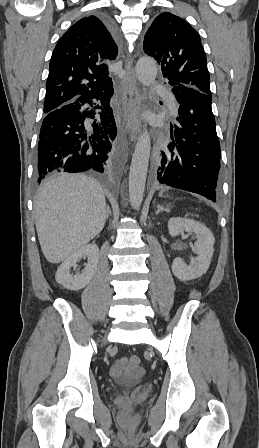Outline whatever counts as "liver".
<instances>
[{
  "mask_svg": "<svg viewBox=\"0 0 259 448\" xmlns=\"http://www.w3.org/2000/svg\"><path fill=\"white\" fill-rule=\"evenodd\" d=\"M34 202L38 240L51 264L64 262L105 226V194L97 180L83 174L50 178L41 184Z\"/></svg>",
  "mask_w": 259,
  "mask_h": 448,
  "instance_id": "obj_1",
  "label": "liver"
}]
</instances>
